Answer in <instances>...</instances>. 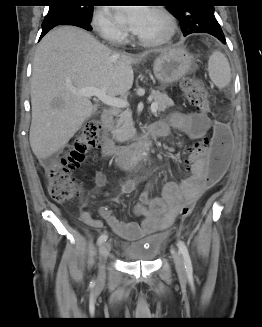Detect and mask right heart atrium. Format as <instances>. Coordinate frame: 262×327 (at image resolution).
<instances>
[{"label": "right heart atrium", "instance_id": "right-heart-atrium-1", "mask_svg": "<svg viewBox=\"0 0 262 327\" xmlns=\"http://www.w3.org/2000/svg\"><path fill=\"white\" fill-rule=\"evenodd\" d=\"M91 25L100 38L105 41L122 44L126 40V32L114 21L105 7H100L94 11Z\"/></svg>", "mask_w": 262, "mask_h": 327}]
</instances>
